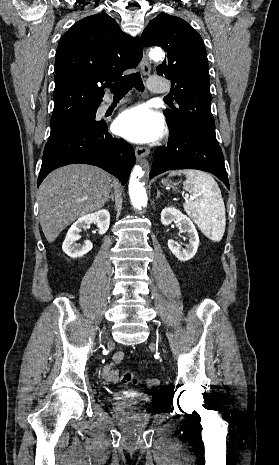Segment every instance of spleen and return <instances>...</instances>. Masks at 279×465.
<instances>
[{
    "label": "spleen",
    "instance_id": "obj_1",
    "mask_svg": "<svg viewBox=\"0 0 279 465\" xmlns=\"http://www.w3.org/2000/svg\"><path fill=\"white\" fill-rule=\"evenodd\" d=\"M185 175L184 189L192 196L184 203V210L214 242H219L225 232V205L219 186L213 177L202 171H173L169 176Z\"/></svg>",
    "mask_w": 279,
    "mask_h": 465
}]
</instances>
